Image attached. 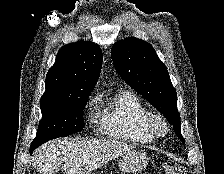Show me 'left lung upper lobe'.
Here are the masks:
<instances>
[{
  "label": "left lung upper lobe",
  "mask_w": 224,
  "mask_h": 174,
  "mask_svg": "<svg viewBox=\"0 0 224 174\" xmlns=\"http://www.w3.org/2000/svg\"><path fill=\"white\" fill-rule=\"evenodd\" d=\"M111 57L119 75L173 124L176 135L185 143L176 90L152 46L136 38H127L113 46Z\"/></svg>",
  "instance_id": "obj_1"
}]
</instances>
